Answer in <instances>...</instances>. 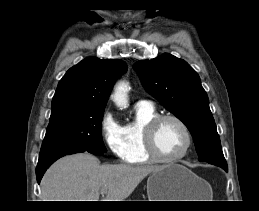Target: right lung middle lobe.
<instances>
[{
	"mask_svg": "<svg viewBox=\"0 0 259 211\" xmlns=\"http://www.w3.org/2000/svg\"><path fill=\"white\" fill-rule=\"evenodd\" d=\"M102 109L76 108L50 117L39 159L63 150L106 152L101 136Z\"/></svg>",
	"mask_w": 259,
	"mask_h": 211,
	"instance_id": "right-lung-middle-lobe-1",
	"label": "right lung middle lobe"
}]
</instances>
